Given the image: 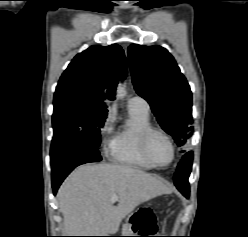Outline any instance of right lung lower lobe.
Listing matches in <instances>:
<instances>
[{
	"label": "right lung lower lobe",
	"instance_id": "obj_1",
	"mask_svg": "<svg viewBox=\"0 0 248 237\" xmlns=\"http://www.w3.org/2000/svg\"><path fill=\"white\" fill-rule=\"evenodd\" d=\"M101 160L98 149L89 145L72 146L64 143L51 146L53 193L56 194L66 176L78 165Z\"/></svg>",
	"mask_w": 248,
	"mask_h": 237
}]
</instances>
